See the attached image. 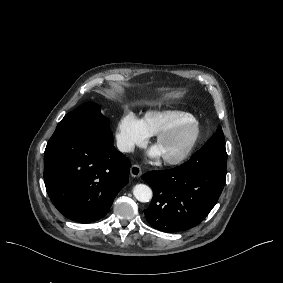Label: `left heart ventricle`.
Listing matches in <instances>:
<instances>
[{"label": "left heart ventricle", "instance_id": "b2bd125f", "mask_svg": "<svg viewBox=\"0 0 283 283\" xmlns=\"http://www.w3.org/2000/svg\"><path fill=\"white\" fill-rule=\"evenodd\" d=\"M189 136L190 127L186 126L178 133L175 138L165 142L157 143L162 152L163 160L164 158H174L178 156L185 148Z\"/></svg>", "mask_w": 283, "mask_h": 283}]
</instances>
